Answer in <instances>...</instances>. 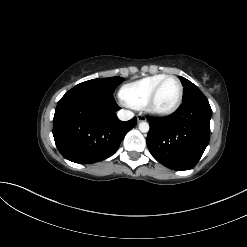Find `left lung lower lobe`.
<instances>
[{
	"mask_svg": "<svg viewBox=\"0 0 247 247\" xmlns=\"http://www.w3.org/2000/svg\"><path fill=\"white\" fill-rule=\"evenodd\" d=\"M212 110L205 95L182 102L166 118H148L147 146L152 156L173 170L192 169L210 138Z\"/></svg>",
	"mask_w": 247,
	"mask_h": 247,
	"instance_id": "left-lung-lower-lobe-1",
	"label": "left lung lower lobe"
}]
</instances>
